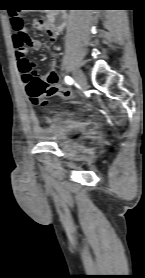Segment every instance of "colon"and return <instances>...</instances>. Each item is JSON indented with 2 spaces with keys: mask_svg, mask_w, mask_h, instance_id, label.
<instances>
[{
  "mask_svg": "<svg viewBox=\"0 0 145 278\" xmlns=\"http://www.w3.org/2000/svg\"><path fill=\"white\" fill-rule=\"evenodd\" d=\"M11 25H12V29L14 32V38L16 41V55L23 57L26 55V50L22 49V50H18V46L19 45H28L31 40L30 37L27 35L26 31H25V27H24V23L21 20V18H19L17 15H13L11 16ZM36 26L37 27H45L46 26V22L43 20H38L36 22ZM65 92L69 95V92L65 90ZM31 97L34 101H36V94L34 92L31 93Z\"/></svg>",
  "mask_w": 145,
  "mask_h": 278,
  "instance_id": "colon-1",
  "label": "colon"
}]
</instances>
